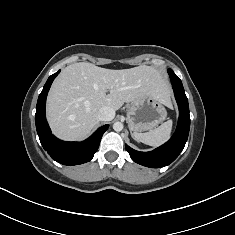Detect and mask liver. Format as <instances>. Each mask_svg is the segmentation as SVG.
<instances>
[{"mask_svg":"<svg viewBox=\"0 0 235 235\" xmlns=\"http://www.w3.org/2000/svg\"><path fill=\"white\" fill-rule=\"evenodd\" d=\"M147 94L171 106L169 85L151 66L112 70L88 62L74 63L64 68L52 84L47 119L58 138L82 140L99 124L101 107L116 111Z\"/></svg>","mask_w":235,"mask_h":235,"instance_id":"liver-1","label":"liver"}]
</instances>
